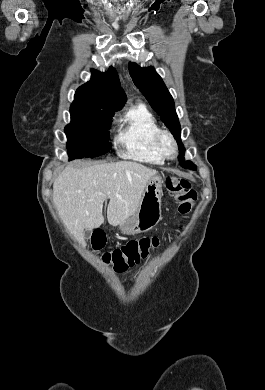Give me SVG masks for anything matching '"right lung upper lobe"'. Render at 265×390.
<instances>
[{"instance_id": "right-lung-upper-lobe-1", "label": "right lung upper lobe", "mask_w": 265, "mask_h": 390, "mask_svg": "<svg viewBox=\"0 0 265 390\" xmlns=\"http://www.w3.org/2000/svg\"><path fill=\"white\" fill-rule=\"evenodd\" d=\"M126 100L117 71L110 66L104 73L92 69L91 80L77 89L71 107L94 108L114 114Z\"/></svg>"}]
</instances>
